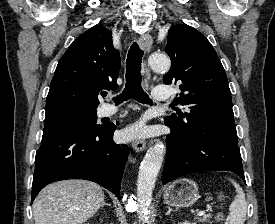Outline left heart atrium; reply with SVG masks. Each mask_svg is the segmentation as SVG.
<instances>
[{"instance_id": "left-heart-atrium-1", "label": "left heart atrium", "mask_w": 275, "mask_h": 224, "mask_svg": "<svg viewBox=\"0 0 275 224\" xmlns=\"http://www.w3.org/2000/svg\"><path fill=\"white\" fill-rule=\"evenodd\" d=\"M145 134H146V129L143 125H135L125 132V136L135 137V138L143 137L145 136Z\"/></svg>"}]
</instances>
